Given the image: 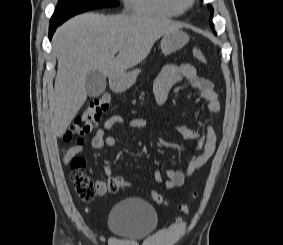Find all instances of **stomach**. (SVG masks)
Wrapping results in <instances>:
<instances>
[{"instance_id":"0dacf381","label":"stomach","mask_w":283,"mask_h":245,"mask_svg":"<svg viewBox=\"0 0 283 245\" xmlns=\"http://www.w3.org/2000/svg\"><path fill=\"white\" fill-rule=\"evenodd\" d=\"M189 41L188 35L180 30L166 33L160 43L161 51L164 55H169L182 47ZM140 70L136 69L130 72H124L115 78L114 85L119 89H125L132 86Z\"/></svg>"}]
</instances>
